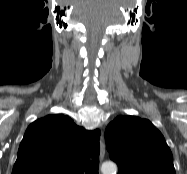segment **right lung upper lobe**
Returning <instances> with one entry per match:
<instances>
[{"label":"right lung upper lobe","mask_w":187,"mask_h":174,"mask_svg":"<svg viewBox=\"0 0 187 174\" xmlns=\"http://www.w3.org/2000/svg\"><path fill=\"white\" fill-rule=\"evenodd\" d=\"M100 131L78 127L67 116L48 115L30 124L12 174H83L98 157Z\"/></svg>","instance_id":"1"}]
</instances>
